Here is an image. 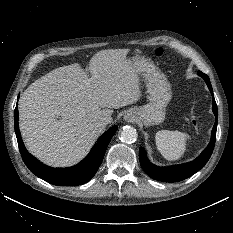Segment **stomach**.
<instances>
[{"label":"stomach","mask_w":233,"mask_h":233,"mask_svg":"<svg viewBox=\"0 0 233 233\" xmlns=\"http://www.w3.org/2000/svg\"><path fill=\"white\" fill-rule=\"evenodd\" d=\"M129 60L143 78L149 93L148 104L131 110L136 112L138 121L145 126L162 123L165 119L166 107L172 98L170 83L166 76L143 56H134Z\"/></svg>","instance_id":"1"}]
</instances>
